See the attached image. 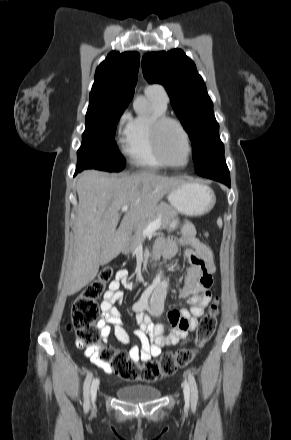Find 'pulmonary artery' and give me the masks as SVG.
Returning <instances> with one entry per match:
<instances>
[{"instance_id": "1", "label": "pulmonary artery", "mask_w": 291, "mask_h": 440, "mask_svg": "<svg viewBox=\"0 0 291 440\" xmlns=\"http://www.w3.org/2000/svg\"><path fill=\"white\" fill-rule=\"evenodd\" d=\"M146 94L148 96H151L155 99H157L159 102H161L164 105H167L169 101L168 94L165 90V88L160 84H151L146 87L145 90Z\"/></svg>"}]
</instances>
